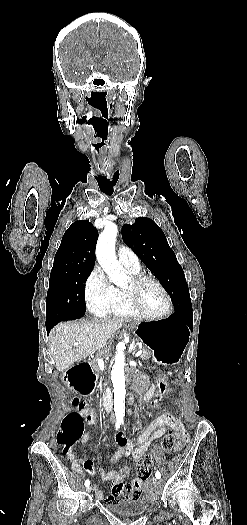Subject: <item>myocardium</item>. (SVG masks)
Returning <instances> with one entry per match:
<instances>
[{"instance_id":"1","label":"myocardium","mask_w":247,"mask_h":525,"mask_svg":"<svg viewBox=\"0 0 247 525\" xmlns=\"http://www.w3.org/2000/svg\"><path fill=\"white\" fill-rule=\"evenodd\" d=\"M150 280L154 282L164 293L166 298V305L163 309L153 312L145 308V306L142 304L139 296H138V287L145 281ZM132 288L129 290L130 293L135 297L136 299V306L137 311L141 313L142 315L146 317H154V318H161L167 315L171 309H172V298L166 287L162 284V282L155 276L149 275V274H140L137 277H132L131 279Z\"/></svg>"}]
</instances>
